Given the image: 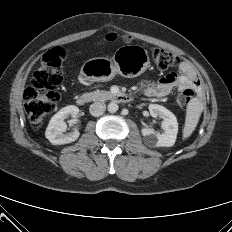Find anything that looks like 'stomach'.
<instances>
[{
  "label": "stomach",
  "mask_w": 232,
  "mask_h": 232,
  "mask_svg": "<svg viewBox=\"0 0 232 232\" xmlns=\"http://www.w3.org/2000/svg\"><path fill=\"white\" fill-rule=\"evenodd\" d=\"M150 66L147 50L139 45L119 47L113 58H92L81 67V76L89 82L112 80L117 74L123 77H135Z\"/></svg>",
  "instance_id": "0dacf381"
}]
</instances>
